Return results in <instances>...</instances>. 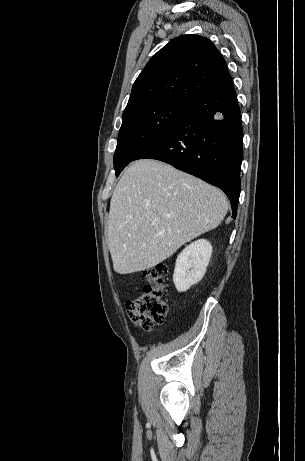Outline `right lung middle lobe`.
<instances>
[{"mask_svg":"<svg viewBox=\"0 0 305 461\" xmlns=\"http://www.w3.org/2000/svg\"><path fill=\"white\" fill-rule=\"evenodd\" d=\"M188 107V104L162 102L124 115L114 154L116 176L126 165L164 137L186 113Z\"/></svg>","mask_w":305,"mask_h":461,"instance_id":"dd1d6c3e","label":"right lung middle lobe"}]
</instances>
